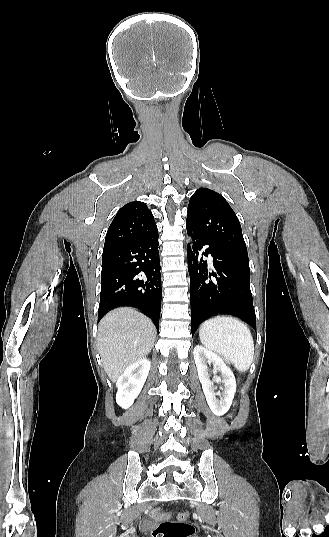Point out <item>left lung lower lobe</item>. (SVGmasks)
<instances>
[{"label": "left lung lower lobe", "instance_id": "left-lung-lower-lobe-1", "mask_svg": "<svg viewBox=\"0 0 329 537\" xmlns=\"http://www.w3.org/2000/svg\"><path fill=\"white\" fill-rule=\"evenodd\" d=\"M187 232L193 241V251L188 245L192 335L203 321L217 314L234 315L256 331L249 260L209 244L188 226ZM204 245H209L205 252L202 251ZM208 254L213 257L212 273L201 257Z\"/></svg>", "mask_w": 329, "mask_h": 537}]
</instances>
